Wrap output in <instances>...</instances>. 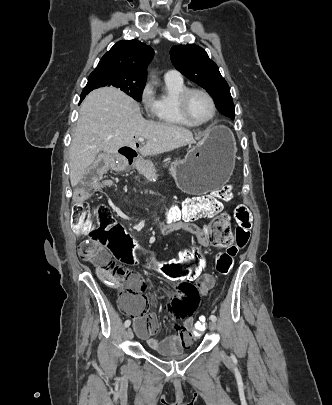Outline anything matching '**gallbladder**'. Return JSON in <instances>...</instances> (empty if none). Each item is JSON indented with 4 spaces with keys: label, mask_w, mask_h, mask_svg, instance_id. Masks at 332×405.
Wrapping results in <instances>:
<instances>
[{
    "label": "gallbladder",
    "mask_w": 332,
    "mask_h": 405,
    "mask_svg": "<svg viewBox=\"0 0 332 405\" xmlns=\"http://www.w3.org/2000/svg\"><path fill=\"white\" fill-rule=\"evenodd\" d=\"M106 156H108V154H100V155L98 156V158H97V161L100 160V159H101V160L105 159Z\"/></svg>",
    "instance_id": "obj_1"
}]
</instances>
